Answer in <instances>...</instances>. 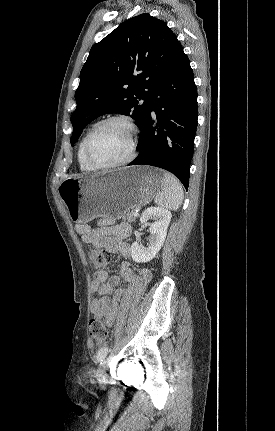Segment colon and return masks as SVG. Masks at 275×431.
<instances>
[{
	"label": "colon",
	"mask_w": 275,
	"mask_h": 431,
	"mask_svg": "<svg viewBox=\"0 0 275 431\" xmlns=\"http://www.w3.org/2000/svg\"><path fill=\"white\" fill-rule=\"evenodd\" d=\"M89 261L96 271L102 272L110 263L111 257L109 252L104 249H92L89 251ZM89 332L95 343L103 344L107 341L108 330L101 320L92 319L89 324Z\"/></svg>",
	"instance_id": "obj_1"
}]
</instances>
